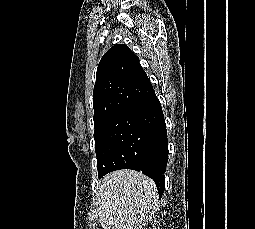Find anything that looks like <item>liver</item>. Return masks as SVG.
I'll use <instances>...</instances> for the list:
<instances>
[{
    "instance_id": "liver-1",
    "label": "liver",
    "mask_w": 255,
    "mask_h": 229,
    "mask_svg": "<svg viewBox=\"0 0 255 229\" xmlns=\"http://www.w3.org/2000/svg\"><path fill=\"white\" fill-rule=\"evenodd\" d=\"M99 222L103 229H141L158 207L152 179L134 170H118L99 184Z\"/></svg>"
}]
</instances>
